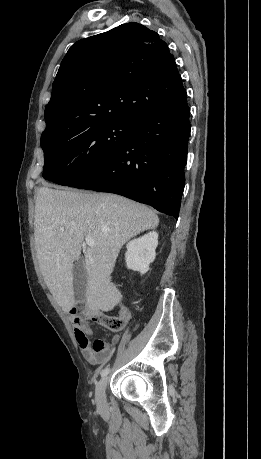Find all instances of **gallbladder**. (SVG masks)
Segmentation results:
<instances>
[{"label":"gallbladder","mask_w":261,"mask_h":459,"mask_svg":"<svg viewBox=\"0 0 261 459\" xmlns=\"http://www.w3.org/2000/svg\"><path fill=\"white\" fill-rule=\"evenodd\" d=\"M87 281L88 274L85 260L83 257H80L73 267V290L75 301H81L85 297Z\"/></svg>","instance_id":"bac80fb5"}]
</instances>
